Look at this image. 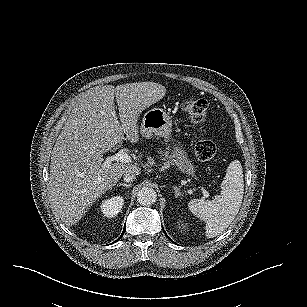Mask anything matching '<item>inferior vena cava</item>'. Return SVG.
Segmentation results:
<instances>
[{
	"instance_id": "602c4592",
	"label": "inferior vena cava",
	"mask_w": 307,
	"mask_h": 307,
	"mask_svg": "<svg viewBox=\"0 0 307 307\" xmlns=\"http://www.w3.org/2000/svg\"><path fill=\"white\" fill-rule=\"evenodd\" d=\"M123 179L125 182L130 183L136 180V175L130 171H127L124 173Z\"/></svg>"
}]
</instances>
